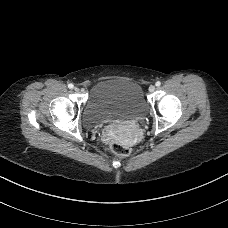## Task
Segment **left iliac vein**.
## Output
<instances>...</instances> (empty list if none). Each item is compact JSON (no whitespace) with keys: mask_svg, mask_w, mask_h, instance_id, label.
I'll return each mask as SVG.
<instances>
[{"mask_svg":"<svg viewBox=\"0 0 228 228\" xmlns=\"http://www.w3.org/2000/svg\"><path fill=\"white\" fill-rule=\"evenodd\" d=\"M156 90V87L154 86V85H151L150 87H149V91L152 93V92H154Z\"/></svg>","mask_w":228,"mask_h":228,"instance_id":"obj_1","label":"left iliac vein"}]
</instances>
